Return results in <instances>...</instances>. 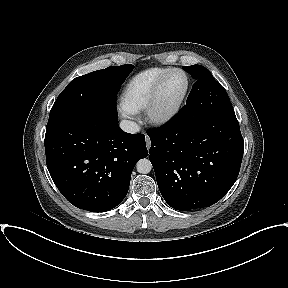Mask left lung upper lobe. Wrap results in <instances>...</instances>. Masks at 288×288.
I'll return each instance as SVG.
<instances>
[{"label":"left lung upper lobe","instance_id":"1","mask_svg":"<svg viewBox=\"0 0 288 288\" xmlns=\"http://www.w3.org/2000/svg\"><path fill=\"white\" fill-rule=\"evenodd\" d=\"M196 82L187 98L186 105L180 110L195 114H217L230 119H236L234 109L225 89L212 76L211 72L201 66H183Z\"/></svg>","mask_w":288,"mask_h":288}]
</instances>
